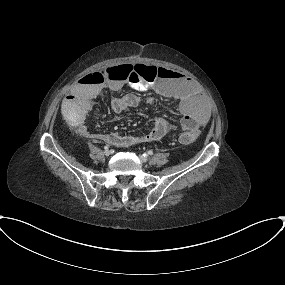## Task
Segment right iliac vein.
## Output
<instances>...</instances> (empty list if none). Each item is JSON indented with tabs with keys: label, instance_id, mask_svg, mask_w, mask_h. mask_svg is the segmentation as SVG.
Returning <instances> with one entry per match:
<instances>
[{
	"label": "right iliac vein",
	"instance_id": "63e3f726",
	"mask_svg": "<svg viewBox=\"0 0 285 285\" xmlns=\"http://www.w3.org/2000/svg\"><path fill=\"white\" fill-rule=\"evenodd\" d=\"M110 154H111V152L109 150L104 151L105 156H109Z\"/></svg>",
	"mask_w": 285,
	"mask_h": 285
}]
</instances>
